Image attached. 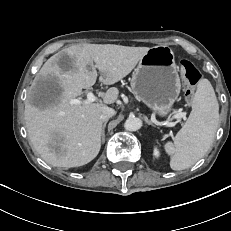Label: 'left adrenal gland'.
I'll use <instances>...</instances> for the list:
<instances>
[{
    "label": "left adrenal gland",
    "instance_id": "left-adrenal-gland-1",
    "mask_svg": "<svg viewBox=\"0 0 231 231\" xmlns=\"http://www.w3.org/2000/svg\"><path fill=\"white\" fill-rule=\"evenodd\" d=\"M145 122H146L147 124H149V125L155 127V125H154L150 120H148L147 117H145Z\"/></svg>",
    "mask_w": 231,
    "mask_h": 231
}]
</instances>
